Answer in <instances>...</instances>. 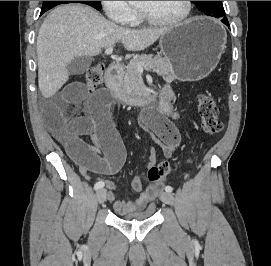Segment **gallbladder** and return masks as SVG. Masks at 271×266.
I'll return each mask as SVG.
<instances>
[{
  "instance_id": "bac80fb5",
  "label": "gallbladder",
  "mask_w": 271,
  "mask_h": 266,
  "mask_svg": "<svg viewBox=\"0 0 271 266\" xmlns=\"http://www.w3.org/2000/svg\"><path fill=\"white\" fill-rule=\"evenodd\" d=\"M92 63V58L88 56H81L73 59L68 65V71L71 75L83 74Z\"/></svg>"
}]
</instances>
